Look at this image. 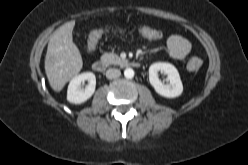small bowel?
<instances>
[{"label":"small bowel","mask_w":248,"mask_h":165,"mask_svg":"<svg viewBox=\"0 0 248 165\" xmlns=\"http://www.w3.org/2000/svg\"><path fill=\"white\" fill-rule=\"evenodd\" d=\"M147 28L149 27H140L136 30V33L143 38H146L149 40H155L144 34V30ZM166 47H167V52H168L169 57L175 61H180V60L185 59L191 50L190 42L186 38L180 35L170 36L167 39Z\"/></svg>","instance_id":"obj_1"}]
</instances>
